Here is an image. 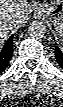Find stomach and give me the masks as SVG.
<instances>
[{"mask_svg": "<svg viewBox=\"0 0 63 107\" xmlns=\"http://www.w3.org/2000/svg\"><path fill=\"white\" fill-rule=\"evenodd\" d=\"M34 11L50 20L57 32L63 33V0L37 4Z\"/></svg>", "mask_w": 63, "mask_h": 107, "instance_id": "obj_1", "label": "stomach"}]
</instances>
